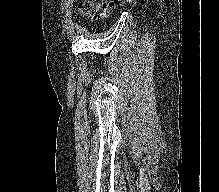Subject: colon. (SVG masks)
Wrapping results in <instances>:
<instances>
[{
    "instance_id": "1",
    "label": "colon",
    "mask_w": 219,
    "mask_h": 192,
    "mask_svg": "<svg viewBox=\"0 0 219 192\" xmlns=\"http://www.w3.org/2000/svg\"><path fill=\"white\" fill-rule=\"evenodd\" d=\"M130 0H82L79 3V14L88 19L104 17L110 11L121 4Z\"/></svg>"
}]
</instances>
